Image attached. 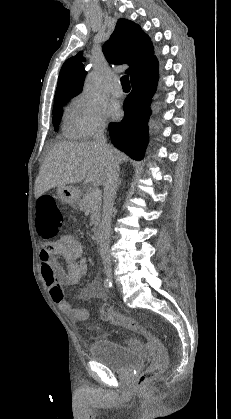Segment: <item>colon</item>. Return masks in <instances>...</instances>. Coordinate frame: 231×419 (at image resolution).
<instances>
[{
	"label": "colon",
	"mask_w": 231,
	"mask_h": 419,
	"mask_svg": "<svg viewBox=\"0 0 231 419\" xmlns=\"http://www.w3.org/2000/svg\"><path fill=\"white\" fill-rule=\"evenodd\" d=\"M36 224L38 233L42 239L50 240L58 235L63 224V218L54 197L43 195L39 198L37 202ZM100 316L104 321L129 330L138 331L147 338L151 346L153 359L148 368L141 373L138 379V386L141 388L148 387L154 379L164 373L167 367L168 359L161 340L146 329L140 327L133 318L114 312L108 306L102 307ZM72 318L76 320L74 317Z\"/></svg>",
	"instance_id": "1"
}]
</instances>
